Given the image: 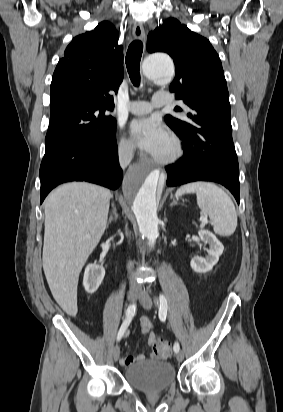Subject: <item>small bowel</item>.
<instances>
[{
	"instance_id": "1",
	"label": "small bowel",
	"mask_w": 283,
	"mask_h": 412,
	"mask_svg": "<svg viewBox=\"0 0 283 412\" xmlns=\"http://www.w3.org/2000/svg\"><path fill=\"white\" fill-rule=\"evenodd\" d=\"M140 324H141V329L142 331L148 335V344L152 346L155 342V335L152 332V324L149 320L148 317L144 316L141 317L140 319ZM125 333V332H124ZM125 335H128V332L125 333ZM146 359V356L144 354H138L136 356H126L121 358L120 363L123 366H129L132 365L135 362H143Z\"/></svg>"
}]
</instances>
